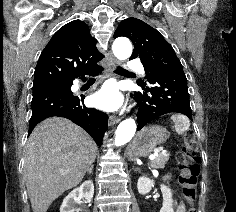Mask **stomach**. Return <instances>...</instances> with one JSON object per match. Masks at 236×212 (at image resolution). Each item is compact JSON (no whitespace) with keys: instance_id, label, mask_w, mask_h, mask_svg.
I'll return each instance as SVG.
<instances>
[{"instance_id":"0dacf381","label":"stomach","mask_w":236,"mask_h":212,"mask_svg":"<svg viewBox=\"0 0 236 212\" xmlns=\"http://www.w3.org/2000/svg\"><path fill=\"white\" fill-rule=\"evenodd\" d=\"M169 138V132L162 126L153 125L142 129L128 148L130 158L147 156L154 148Z\"/></svg>"}]
</instances>
